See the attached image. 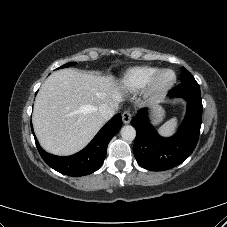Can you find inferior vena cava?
Segmentation results:
<instances>
[{
    "mask_svg": "<svg viewBox=\"0 0 227 227\" xmlns=\"http://www.w3.org/2000/svg\"><path fill=\"white\" fill-rule=\"evenodd\" d=\"M98 112L105 120L110 119L115 114V110L109 107L107 104H101L98 107Z\"/></svg>",
    "mask_w": 227,
    "mask_h": 227,
    "instance_id": "602c4592",
    "label": "inferior vena cava"
}]
</instances>
